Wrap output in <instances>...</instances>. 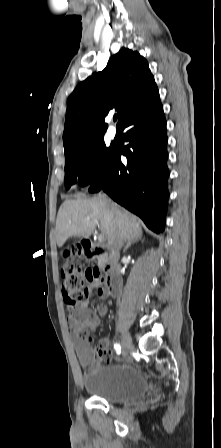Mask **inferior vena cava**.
I'll list each match as a JSON object with an SVG mask.
<instances>
[{
    "mask_svg": "<svg viewBox=\"0 0 221 448\" xmlns=\"http://www.w3.org/2000/svg\"><path fill=\"white\" fill-rule=\"evenodd\" d=\"M122 243L121 242H117L116 244H115V247H114V249H115V252L116 253H119V251H120V249L122 248Z\"/></svg>",
    "mask_w": 221,
    "mask_h": 448,
    "instance_id": "602c4592",
    "label": "inferior vena cava"
}]
</instances>
